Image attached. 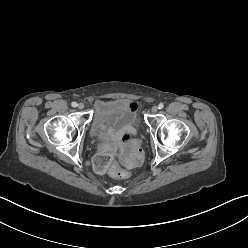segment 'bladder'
Returning a JSON list of instances; mask_svg holds the SVG:
<instances>
[{"label":"bladder","mask_w":248,"mask_h":248,"mask_svg":"<svg viewBox=\"0 0 248 248\" xmlns=\"http://www.w3.org/2000/svg\"><path fill=\"white\" fill-rule=\"evenodd\" d=\"M135 125H139L138 116L128 100H102L94 106L91 134L96 140L122 135Z\"/></svg>","instance_id":"1"}]
</instances>
